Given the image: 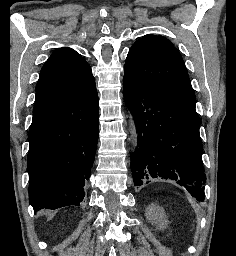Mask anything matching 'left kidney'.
Returning <instances> with one entry per match:
<instances>
[{
  "label": "left kidney",
  "instance_id": "obj_1",
  "mask_svg": "<svg viewBox=\"0 0 236 256\" xmlns=\"http://www.w3.org/2000/svg\"><path fill=\"white\" fill-rule=\"evenodd\" d=\"M146 218L151 222V224H157V226H159V230H163V228H166L168 224L163 208H160L157 204H151V206L146 208Z\"/></svg>",
  "mask_w": 236,
  "mask_h": 256
}]
</instances>
